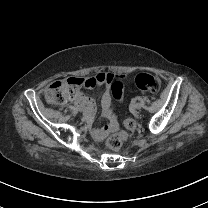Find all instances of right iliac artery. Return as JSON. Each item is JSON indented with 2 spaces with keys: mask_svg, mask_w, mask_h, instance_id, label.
I'll list each match as a JSON object with an SVG mask.
<instances>
[{
  "mask_svg": "<svg viewBox=\"0 0 208 208\" xmlns=\"http://www.w3.org/2000/svg\"><path fill=\"white\" fill-rule=\"evenodd\" d=\"M74 105L78 107L79 106V103L75 101L74 102Z\"/></svg>",
  "mask_w": 208,
  "mask_h": 208,
  "instance_id": "1",
  "label": "right iliac artery"
}]
</instances>
